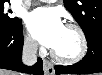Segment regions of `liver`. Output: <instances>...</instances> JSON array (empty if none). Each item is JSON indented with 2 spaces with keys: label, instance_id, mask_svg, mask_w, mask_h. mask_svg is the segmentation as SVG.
I'll list each match as a JSON object with an SVG mask.
<instances>
[{
  "label": "liver",
  "instance_id": "obj_1",
  "mask_svg": "<svg viewBox=\"0 0 102 75\" xmlns=\"http://www.w3.org/2000/svg\"><path fill=\"white\" fill-rule=\"evenodd\" d=\"M0 75H17V74L6 70H1Z\"/></svg>",
  "mask_w": 102,
  "mask_h": 75
}]
</instances>
